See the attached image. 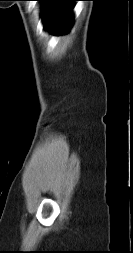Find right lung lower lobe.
Wrapping results in <instances>:
<instances>
[{
	"mask_svg": "<svg viewBox=\"0 0 133 253\" xmlns=\"http://www.w3.org/2000/svg\"><path fill=\"white\" fill-rule=\"evenodd\" d=\"M42 1L44 25L54 34H64L72 25L73 1L77 0H37Z\"/></svg>",
	"mask_w": 133,
	"mask_h": 253,
	"instance_id": "98d812e1",
	"label": "right lung lower lobe"
}]
</instances>
